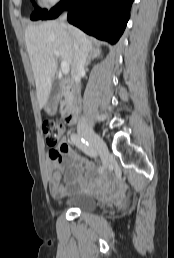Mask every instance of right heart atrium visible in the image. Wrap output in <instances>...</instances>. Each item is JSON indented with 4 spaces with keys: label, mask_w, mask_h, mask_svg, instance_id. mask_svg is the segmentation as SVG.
<instances>
[{
    "label": "right heart atrium",
    "mask_w": 174,
    "mask_h": 258,
    "mask_svg": "<svg viewBox=\"0 0 174 258\" xmlns=\"http://www.w3.org/2000/svg\"><path fill=\"white\" fill-rule=\"evenodd\" d=\"M59 1L60 0H40L41 4L46 8L56 5Z\"/></svg>",
    "instance_id": "1"
}]
</instances>
